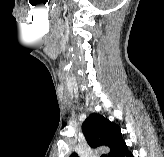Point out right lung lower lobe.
I'll return each mask as SVG.
<instances>
[{"label":"right lung lower lobe","instance_id":"98d812e1","mask_svg":"<svg viewBox=\"0 0 164 157\" xmlns=\"http://www.w3.org/2000/svg\"><path fill=\"white\" fill-rule=\"evenodd\" d=\"M114 157H134L133 154L127 149L125 142L122 143L120 148L115 153Z\"/></svg>","mask_w":164,"mask_h":157}]
</instances>
